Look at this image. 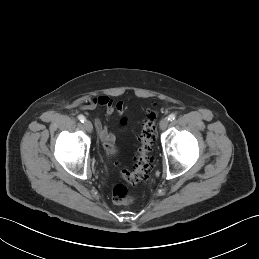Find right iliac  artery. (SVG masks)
<instances>
[{"instance_id": "1", "label": "right iliac artery", "mask_w": 259, "mask_h": 259, "mask_svg": "<svg viewBox=\"0 0 259 259\" xmlns=\"http://www.w3.org/2000/svg\"><path fill=\"white\" fill-rule=\"evenodd\" d=\"M78 119H79L82 123H84V122L86 121V118H85L83 115H79V116H78Z\"/></svg>"}]
</instances>
